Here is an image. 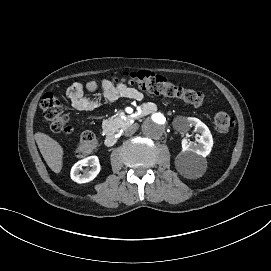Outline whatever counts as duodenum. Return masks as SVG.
Returning a JSON list of instances; mask_svg holds the SVG:
<instances>
[{"instance_id":"obj_1","label":"duodenum","mask_w":271,"mask_h":271,"mask_svg":"<svg viewBox=\"0 0 271 271\" xmlns=\"http://www.w3.org/2000/svg\"><path fill=\"white\" fill-rule=\"evenodd\" d=\"M146 110L143 111V113H145ZM117 142V138L114 134H107L105 137V145L107 147H112L116 144Z\"/></svg>"}]
</instances>
